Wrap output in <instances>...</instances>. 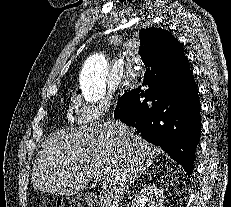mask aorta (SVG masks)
I'll return each mask as SVG.
<instances>
[{
    "instance_id": "1",
    "label": "aorta",
    "mask_w": 231,
    "mask_h": 207,
    "mask_svg": "<svg viewBox=\"0 0 231 207\" xmlns=\"http://www.w3.org/2000/svg\"><path fill=\"white\" fill-rule=\"evenodd\" d=\"M108 63L101 53L91 55L84 63L80 87L86 101L97 102L103 98L106 92V76Z\"/></svg>"
}]
</instances>
